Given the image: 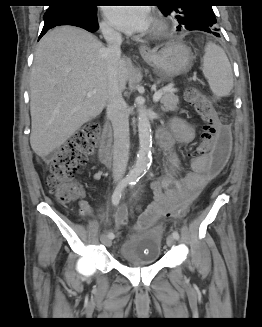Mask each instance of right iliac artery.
<instances>
[{"label":"right iliac artery","mask_w":262,"mask_h":327,"mask_svg":"<svg viewBox=\"0 0 262 327\" xmlns=\"http://www.w3.org/2000/svg\"><path fill=\"white\" fill-rule=\"evenodd\" d=\"M134 178L127 176L125 178H123L119 184L117 185V187L115 188L113 194H112V204L114 206H117L120 202V199L122 197L123 191L124 189L130 185L133 182ZM108 237H110L111 239L114 238V234L112 232L108 233Z\"/></svg>","instance_id":"obj_1"}]
</instances>
